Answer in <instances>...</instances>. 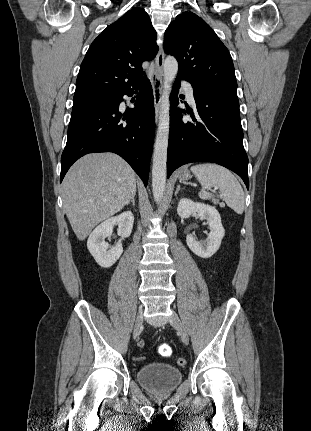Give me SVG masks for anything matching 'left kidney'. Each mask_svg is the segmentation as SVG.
Segmentation results:
<instances>
[{"label": "left kidney", "instance_id": "left-kidney-1", "mask_svg": "<svg viewBox=\"0 0 311 431\" xmlns=\"http://www.w3.org/2000/svg\"><path fill=\"white\" fill-rule=\"evenodd\" d=\"M200 216V219H207L209 223L210 233H208L205 241H197L193 235H186V241L188 247H190L193 253L199 255V257H211L221 245V241L225 235V229L221 223V216L213 206L208 204H200V202H192L187 198L179 200L177 214L180 217H190L192 214Z\"/></svg>", "mask_w": 311, "mask_h": 431}]
</instances>
